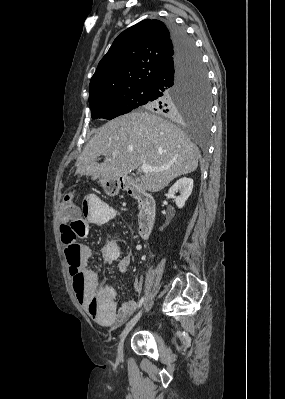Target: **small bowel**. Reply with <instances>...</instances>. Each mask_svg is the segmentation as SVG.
Masks as SVG:
<instances>
[{
  "mask_svg": "<svg viewBox=\"0 0 285 399\" xmlns=\"http://www.w3.org/2000/svg\"><path fill=\"white\" fill-rule=\"evenodd\" d=\"M80 218L83 227L80 229L79 236L88 234L91 226H103L108 221V209L103 201L95 196H87L81 204ZM93 250L85 245H80V260L78 269L82 271L84 287L81 292H74L79 302L86 308L90 317L98 323L104 325H121L137 308L134 300L124 301L117 308L115 302V292L109 287H100L97 274L89 269V261ZM107 261H113V254H105ZM130 257L124 256L118 260V269L126 273L130 266ZM69 270L71 264L67 259ZM133 286L136 290L140 289L139 280H134ZM99 301L100 306L94 307L93 303Z\"/></svg>",
  "mask_w": 285,
  "mask_h": 399,
  "instance_id": "obj_1",
  "label": "small bowel"
}]
</instances>
